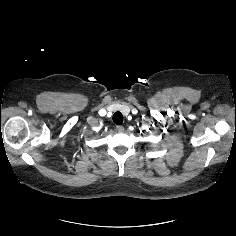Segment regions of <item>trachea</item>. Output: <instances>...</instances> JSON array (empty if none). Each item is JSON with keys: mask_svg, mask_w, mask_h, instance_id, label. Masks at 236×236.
<instances>
[{"mask_svg": "<svg viewBox=\"0 0 236 236\" xmlns=\"http://www.w3.org/2000/svg\"><path fill=\"white\" fill-rule=\"evenodd\" d=\"M113 122L116 124V125H121L123 123V115L120 113V112H116L114 115H113Z\"/></svg>", "mask_w": 236, "mask_h": 236, "instance_id": "3493384b", "label": "trachea"}]
</instances>
